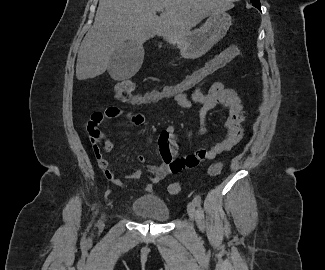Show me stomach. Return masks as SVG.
<instances>
[{"label":"stomach","mask_w":325,"mask_h":270,"mask_svg":"<svg viewBox=\"0 0 325 270\" xmlns=\"http://www.w3.org/2000/svg\"><path fill=\"white\" fill-rule=\"evenodd\" d=\"M231 24V16L226 12L211 14L203 27L190 32L186 37L169 39V42L177 45L182 57L195 59L204 55L222 39Z\"/></svg>","instance_id":"obj_1"}]
</instances>
